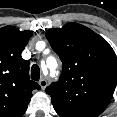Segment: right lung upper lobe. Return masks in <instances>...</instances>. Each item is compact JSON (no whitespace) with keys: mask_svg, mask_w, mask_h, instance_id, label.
Wrapping results in <instances>:
<instances>
[{"mask_svg":"<svg viewBox=\"0 0 117 117\" xmlns=\"http://www.w3.org/2000/svg\"><path fill=\"white\" fill-rule=\"evenodd\" d=\"M32 34L14 26L0 28V117H21L32 91L41 88L29 79V61L21 56Z\"/></svg>","mask_w":117,"mask_h":117,"instance_id":"1","label":"right lung upper lobe"}]
</instances>
